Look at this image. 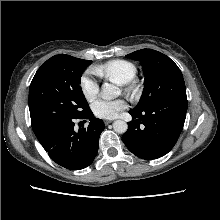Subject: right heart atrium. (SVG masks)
I'll list each match as a JSON object with an SVG mask.
<instances>
[{
  "label": "right heart atrium",
  "instance_id": "1",
  "mask_svg": "<svg viewBox=\"0 0 220 220\" xmlns=\"http://www.w3.org/2000/svg\"><path fill=\"white\" fill-rule=\"evenodd\" d=\"M91 73H94V69ZM91 73L84 74L80 79V88L83 96L89 102L93 101L99 94V84L91 76Z\"/></svg>",
  "mask_w": 220,
  "mask_h": 220
}]
</instances>
